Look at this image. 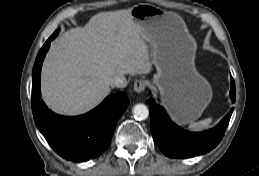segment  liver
Masks as SVG:
<instances>
[{
    "instance_id": "6515ba94",
    "label": "liver",
    "mask_w": 259,
    "mask_h": 176,
    "mask_svg": "<svg viewBox=\"0 0 259 176\" xmlns=\"http://www.w3.org/2000/svg\"><path fill=\"white\" fill-rule=\"evenodd\" d=\"M152 64L131 9L101 12L51 44L42 67V99L57 113L83 114L110 93L114 77L148 74Z\"/></svg>"
}]
</instances>
